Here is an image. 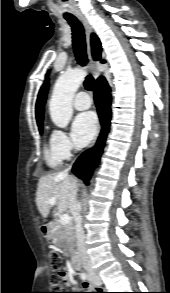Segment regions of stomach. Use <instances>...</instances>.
Segmentation results:
<instances>
[{
	"label": "stomach",
	"instance_id": "stomach-1",
	"mask_svg": "<svg viewBox=\"0 0 170 293\" xmlns=\"http://www.w3.org/2000/svg\"><path fill=\"white\" fill-rule=\"evenodd\" d=\"M45 233H46V237H51V235H52V232H51V229H50V228H48V229L45 231Z\"/></svg>",
	"mask_w": 170,
	"mask_h": 293
}]
</instances>
